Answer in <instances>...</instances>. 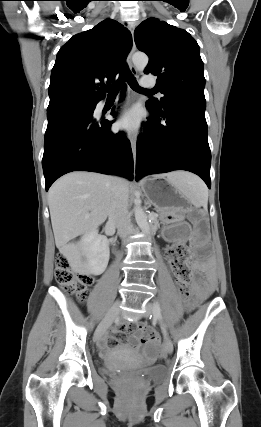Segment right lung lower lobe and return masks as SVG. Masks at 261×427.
Instances as JSON below:
<instances>
[{
    "label": "right lung lower lobe",
    "instance_id": "1",
    "mask_svg": "<svg viewBox=\"0 0 261 427\" xmlns=\"http://www.w3.org/2000/svg\"><path fill=\"white\" fill-rule=\"evenodd\" d=\"M113 121L63 115L48 119L42 159L46 191L72 171L116 174L133 179V156L123 133H112Z\"/></svg>",
    "mask_w": 261,
    "mask_h": 427
}]
</instances>
